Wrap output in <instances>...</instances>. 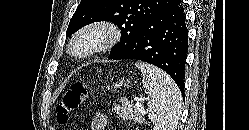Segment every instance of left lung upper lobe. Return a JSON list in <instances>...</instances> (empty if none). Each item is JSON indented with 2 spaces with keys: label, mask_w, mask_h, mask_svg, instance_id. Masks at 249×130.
Returning <instances> with one entry per match:
<instances>
[{
  "label": "left lung upper lobe",
  "mask_w": 249,
  "mask_h": 130,
  "mask_svg": "<svg viewBox=\"0 0 249 130\" xmlns=\"http://www.w3.org/2000/svg\"><path fill=\"white\" fill-rule=\"evenodd\" d=\"M172 0H81L68 25L71 36L85 25L111 21L121 30V40L110 52L112 58L130 43L141 27L157 13L165 10Z\"/></svg>",
  "instance_id": "obj_1"
}]
</instances>
